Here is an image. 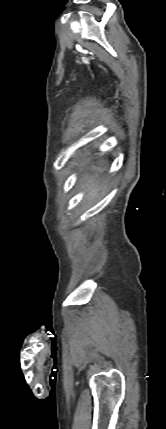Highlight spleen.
I'll list each match as a JSON object with an SVG mask.
<instances>
[{
  "label": "spleen",
  "instance_id": "obj_1",
  "mask_svg": "<svg viewBox=\"0 0 166 429\" xmlns=\"http://www.w3.org/2000/svg\"><path fill=\"white\" fill-rule=\"evenodd\" d=\"M96 187H94V186H91V188H90V191H89V193H88V195H87V197L88 198H93V197H95V195H96Z\"/></svg>",
  "mask_w": 166,
  "mask_h": 429
}]
</instances>
